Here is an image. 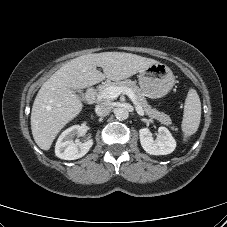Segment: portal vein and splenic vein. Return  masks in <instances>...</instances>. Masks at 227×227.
Masks as SVG:
<instances>
[{
    "mask_svg": "<svg viewBox=\"0 0 227 227\" xmlns=\"http://www.w3.org/2000/svg\"><path fill=\"white\" fill-rule=\"evenodd\" d=\"M120 94L127 95L134 103L137 113L140 116L144 115V111L142 107L138 104L134 92L128 87H115V86L107 87L101 92L100 98L111 100V99H116Z\"/></svg>",
    "mask_w": 227,
    "mask_h": 227,
    "instance_id": "18ae733b",
    "label": "portal vein and splenic vein"
}]
</instances>
